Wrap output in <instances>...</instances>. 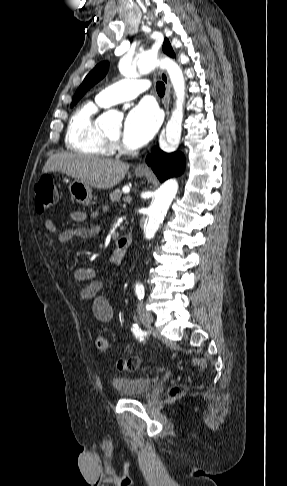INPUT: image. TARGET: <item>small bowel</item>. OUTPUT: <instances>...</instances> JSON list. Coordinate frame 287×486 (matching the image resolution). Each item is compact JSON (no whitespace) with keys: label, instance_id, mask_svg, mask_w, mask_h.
I'll use <instances>...</instances> for the list:
<instances>
[{"label":"small bowel","instance_id":"c3829d8e","mask_svg":"<svg viewBox=\"0 0 287 486\" xmlns=\"http://www.w3.org/2000/svg\"><path fill=\"white\" fill-rule=\"evenodd\" d=\"M99 216V212L94 211L89 216L83 211H73L69 214V217L75 222H84L87 219L95 220ZM44 226L50 233L56 235L57 243L64 250H68V244L74 238L82 240H90L96 237L100 233V227L92 224L90 226H82L76 228H59L51 219L44 221ZM123 257L117 256L112 253L109 262L111 265H119L122 262ZM97 270L92 267H79L73 272V277L78 281H88V284L84 286L80 292V298L84 300L93 301V313L95 317L101 322H109L113 318V307L109 300L100 295L102 288L101 281L95 279Z\"/></svg>","mask_w":287,"mask_h":486}]
</instances>
